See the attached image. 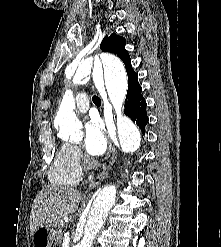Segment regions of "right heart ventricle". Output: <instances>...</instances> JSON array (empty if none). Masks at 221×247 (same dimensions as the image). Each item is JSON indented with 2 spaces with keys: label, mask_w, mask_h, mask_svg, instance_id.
I'll return each instance as SVG.
<instances>
[{
  "label": "right heart ventricle",
  "mask_w": 221,
  "mask_h": 247,
  "mask_svg": "<svg viewBox=\"0 0 221 247\" xmlns=\"http://www.w3.org/2000/svg\"><path fill=\"white\" fill-rule=\"evenodd\" d=\"M80 177L81 169L75 147L69 143H62L48 172L49 180L57 185L71 186L77 184Z\"/></svg>",
  "instance_id": "obj_1"
}]
</instances>
